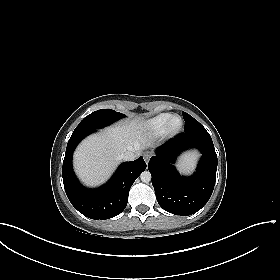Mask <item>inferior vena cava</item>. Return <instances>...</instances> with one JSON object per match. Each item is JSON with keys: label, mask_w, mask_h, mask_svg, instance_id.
Segmentation results:
<instances>
[{"label": "inferior vena cava", "mask_w": 280, "mask_h": 280, "mask_svg": "<svg viewBox=\"0 0 280 280\" xmlns=\"http://www.w3.org/2000/svg\"><path fill=\"white\" fill-rule=\"evenodd\" d=\"M120 157L125 161H132L137 157V154L135 153V151H126Z\"/></svg>", "instance_id": "obj_1"}]
</instances>
